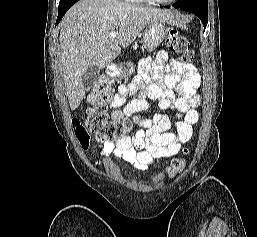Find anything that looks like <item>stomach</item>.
Masks as SVG:
<instances>
[{"mask_svg": "<svg viewBox=\"0 0 257 237\" xmlns=\"http://www.w3.org/2000/svg\"><path fill=\"white\" fill-rule=\"evenodd\" d=\"M169 34V29L165 24V21L162 20H154L149 22L143 31V47L147 51H153L157 48L167 37ZM132 67L127 71V74L132 73ZM126 74V70L123 71Z\"/></svg>", "mask_w": 257, "mask_h": 237, "instance_id": "stomach-1", "label": "stomach"}]
</instances>
